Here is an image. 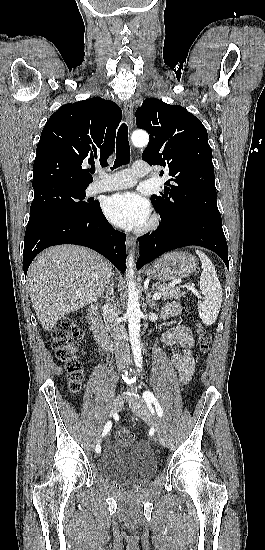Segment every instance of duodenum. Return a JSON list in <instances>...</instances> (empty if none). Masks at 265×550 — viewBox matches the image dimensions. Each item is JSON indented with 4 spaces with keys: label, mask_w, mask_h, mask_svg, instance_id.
I'll return each instance as SVG.
<instances>
[{
    "label": "duodenum",
    "mask_w": 265,
    "mask_h": 550,
    "mask_svg": "<svg viewBox=\"0 0 265 550\" xmlns=\"http://www.w3.org/2000/svg\"><path fill=\"white\" fill-rule=\"evenodd\" d=\"M99 307L97 305H91L88 311L89 326L92 330L97 344L104 348L111 347V341L106 329L104 328L99 316Z\"/></svg>",
    "instance_id": "duodenum-1"
}]
</instances>
